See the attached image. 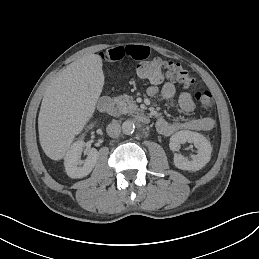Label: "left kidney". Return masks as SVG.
Listing matches in <instances>:
<instances>
[{
  "instance_id": "5707ae66",
  "label": "left kidney",
  "mask_w": 259,
  "mask_h": 259,
  "mask_svg": "<svg viewBox=\"0 0 259 259\" xmlns=\"http://www.w3.org/2000/svg\"><path fill=\"white\" fill-rule=\"evenodd\" d=\"M186 142L194 143V146L198 149V154L190 161L183 158L180 154H176L174 157V165L180 170L198 171L211 159L213 151L211 143L200 133L183 130L171 136L169 145L173 151H177L180 145Z\"/></svg>"
}]
</instances>
